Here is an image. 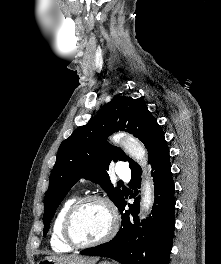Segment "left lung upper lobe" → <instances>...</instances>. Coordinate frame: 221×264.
Wrapping results in <instances>:
<instances>
[{
	"instance_id": "left-lung-upper-lobe-1",
	"label": "left lung upper lobe",
	"mask_w": 221,
	"mask_h": 264,
	"mask_svg": "<svg viewBox=\"0 0 221 264\" xmlns=\"http://www.w3.org/2000/svg\"><path fill=\"white\" fill-rule=\"evenodd\" d=\"M119 130L133 134L145 144L149 162L165 140L162 128L143 102L131 97L114 98L61 143L44 198V236L57 207L81 177L101 185L114 204H120L124 195L108 178L109 164L122 160L129 162L132 173L141 169L120 148L107 143L106 137Z\"/></svg>"
}]
</instances>
